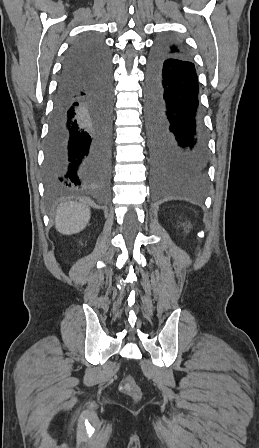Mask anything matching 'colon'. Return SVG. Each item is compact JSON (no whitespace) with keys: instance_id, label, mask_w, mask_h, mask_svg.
Segmentation results:
<instances>
[{"instance_id":"1","label":"colon","mask_w":259,"mask_h":448,"mask_svg":"<svg viewBox=\"0 0 259 448\" xmlns=\"http://www.w3.org/2000/svg\"><path fill=\"white\" fill-rule=\"evenodd\" d=\"M121 390L132 397L135 400H138L141 396V390L135 381L131 377H125L120 385Z\"/></svg>"}]
</instances>
